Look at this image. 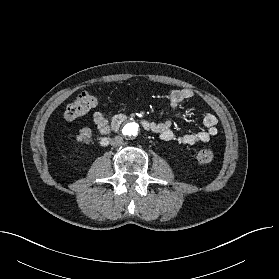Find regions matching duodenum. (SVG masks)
Instances as JSON below:
<instances>
[{"label":"duodenum","instance_id":"obj_1","mask_svg":"<svg viewBox=\"0 0 279 279\" xmlns=\"http://www.w3.org/2000/svg\"><path fill=\"white\" fill-rule=\"evenodd\" d=\"M126 119L127 117L125 115H119L115 117V119L112 122L111 129L117 130L121 126V124L125 122ZM142 124L146 129H151V125L147 121H143ZM109 141H110L109 137L105 136L101 139L100 143L103 147H106L108 146Z\"/></svg>","mask_w":279,"mask_h":279}]
</instances>
